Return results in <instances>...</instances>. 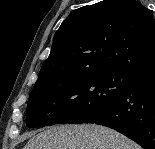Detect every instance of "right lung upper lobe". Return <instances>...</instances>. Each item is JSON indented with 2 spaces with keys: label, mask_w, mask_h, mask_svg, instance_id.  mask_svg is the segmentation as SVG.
Here are the masks:
<instances>
[{
  "label": "right lung upper lobe",
  "mask_w": 155,
  "mask_h": 149,
  "mask_svg": "<svg viewBox=\"0 0 155 149\" xmlns=\"http://www.w3.org/2000/svg\"><path fill=\"white\" fill-rule=\"evenodd\" d=\"M154 70L153 16L135 0H104L62 22L37 82L67 73Z\"/></svg>",
  "instance_id": "right-lung-upper-lobe-1"
}]
</instances>
